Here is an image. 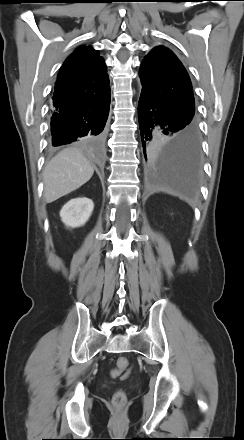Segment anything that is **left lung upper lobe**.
<instances>
[{"instance_id":"5c2ea615","label":"left lung upper lobe","mask_w":244,"mask_h":440,"mask_svg":"<svg viewBox=\"0 0 244 440\" xmlns=\"http://www.w3.org/2000/svg\"><path fill=\"white\" fill-rule=\"evenodd\" d=\"M139 77L142 89L148 90L183 116L191 118L197 126L191 81L172 51L163 46L153 48L142 62Z\"/></svg>"}]
</instances>
